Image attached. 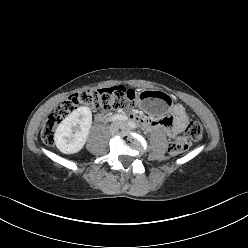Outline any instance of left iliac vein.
I'll list each match as a JSON object with an SVG mask.
<instances>
[{
    "label": "left iliac vein",
    "instance_id": "obj_1",
    "mask_svg": "<svg viewBox=\"0 0 248 248\" xmlns=\"http://www.w3.org/2000/svg\"><path fill=\"white\" fill-rule=\"evenodd\" d=\"M121 127H122V128H125V125L121 124Z\"/></svg>",
    "mask_w": 248,
    "mask_h": 248
}]
</instances>
